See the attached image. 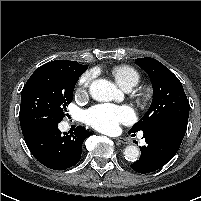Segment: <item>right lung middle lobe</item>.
I'll return each mask as SVG.
<instances>
[{
    "label": "right lung middle lobe",
    "mask_w": 201,
    "mask_h": 201,
    "mask_svg": "<svg viewBox=\"0 0 201 201\" xmlns=\"http://www.w3.org/2000/svg\"><path fill=\"white\" fill-rule=\"evenodd\" d=\"M87 65L55 60L40 66L28 79L21 93V129L42 122L62 121L73 90Z\"/></svg>",
    "instance_id": "1"
}]
</instances>
